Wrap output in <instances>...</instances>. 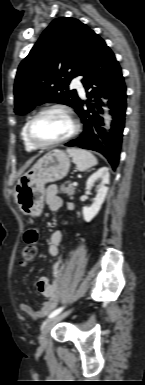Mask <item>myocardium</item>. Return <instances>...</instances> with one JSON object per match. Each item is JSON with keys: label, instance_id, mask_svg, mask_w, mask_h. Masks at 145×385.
Here are the masks:
<instances>
[{"label": "myocardium", "instance_id": "1", "mask_svg": "<svg viewBox=\"0 0 145 385\" xmlns=\"http://www.w3.org/2000/svg\"><path fill=\"white\" fill-rule=\"evenodd\" d=\"M51 111H58V112L64 114L69 119V121L71 122L72 129L68 135H66L65 137H63L59 140H56V141L48 143V144H40V143L36 142L32 136L33 124L42 114L47 113V112H51ZM79 130H80V124H79L78 119L74 115L73 111L65 105L54 104V105L46 106V107L40 109L35 115L32 116V118L27 123L26 138H27L28 143L34 149H50V148L56 147L58 145H61L65 142L69 141L70 139H72L73 137H75L78 134Z\"/></svg>", "mask_w": 145, "mask_h": 385}]
</instances>
